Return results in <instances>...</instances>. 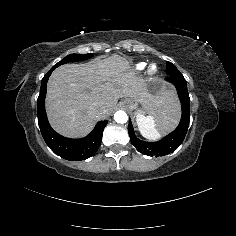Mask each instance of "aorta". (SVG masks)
<instances>
[{
    "label": "aorta",
    "mask_w": 236,
    "mask_h": 236,
    "mask_svg": "<svg viewBox=\"0 0 236 236\" xmlns=\"http://www.w3.org/2000/svg\"><path fill=\"white\" fill-rule=\"evenodd\" d=\"M114 120L117 122V123H120V124H124L128 121V115L126 114L125 111H117L115 114H114Z\"/></svg>",
    "instance_id": "obj_1"
}]
</instances>
